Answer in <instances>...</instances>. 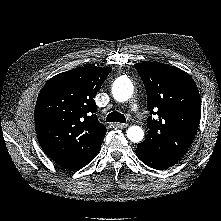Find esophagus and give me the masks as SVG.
I'll list each match as a JSON object with an SVG mask.
<instances>
[{
  "label": "esophagus",
  "mask_w": 221,
  "mask_h": 221,
  "mask_svg": "<svg viewBox=\"0 0 221 221\" xmlns=\"http://www.w3.org/2000/svg\"><path fill=\"white\" fill-rule=\"evenodd\" d=\"M114 126L117 127V128H126L128 126V123H119V122H117V123L114 124Z\"/></svg>",
  "instance_id": "1"
}]
</instances>
